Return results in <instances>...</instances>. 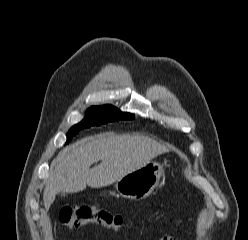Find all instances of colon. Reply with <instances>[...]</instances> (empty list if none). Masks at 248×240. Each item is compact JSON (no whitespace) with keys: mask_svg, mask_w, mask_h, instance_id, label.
Instances as JSON below:
<instances>
[{"mask_svg":"<svg viewBox=\"0 0 248 240\" xmlns=\"http://www.w3.org/2000/svg\"><path fill=\"white\" fill-rule=\"evenodd\" d=\"M59 221L69 229L95 224L113 231L125 230L128 224L122 214L87 203L63 207L59 212Z\"/></svg>","mask_w":248,"mask_h":240,"instance_id":"1","label":"colon"}]
</instances>
